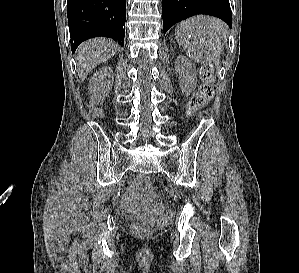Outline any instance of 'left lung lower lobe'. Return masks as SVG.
<instances>
[{
	"label": "left lung lower lobe",
	"instance_id": "1",
	"mask_svg": "<svg viewBox=\"0 0 299 273\" xmlns=\"http://www.w3.org/2000/svg\"><path fill=\"white\" fill-rule=\"evenodd\" d=\"M196 14L218 17L232 26V12L229 0H163L164 34L175 23Z\"/></svg>",
	"mask_w": 299,
	"mask_h": 273
}]
</instances>
